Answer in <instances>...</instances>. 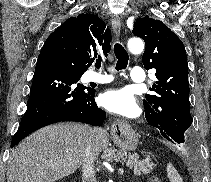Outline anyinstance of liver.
<instances>
[{
    "label": "liver",
    "instance_id": "liver-1",
    "mask_svg": "<svg viewBox=\"0 0 211 182\" xmlns=\"http://www.w3.org/2000/svg\"><path fill=\"white\" fill-rule=\"evenodd\" d=\"M94 151L108 148L106 130L94 128ZM92 128L76 123L44 127L25 138L11 152L7 182H55L74 173L83 157Z\"/></svg>",
    "mask_w": 211,
    "mask_h": 182
}]
</instances>
